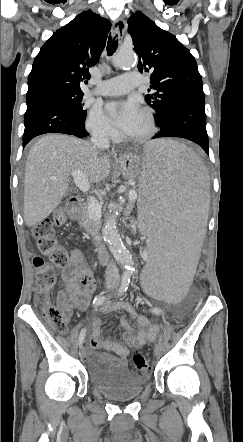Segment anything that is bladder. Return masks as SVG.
Returning a JSON list of instances; mask_svg holds the SVG:
<instances>
[{"mask_svg":"<svg viewBox=\"0 0 243 442\" xmlns=\"http://www.w3.org/2000/svg\"><path fill=\"white\" fill-rule=\"evenodd\" d=\"M88 377L103 396L114 401L138 397L147 383L145 376L121 366L115 358L104 354L89 362Z\"/></svg>","mask_w":243,"mask_h":442,"instance_id":"1","label":"bladder"}]
</instances>
